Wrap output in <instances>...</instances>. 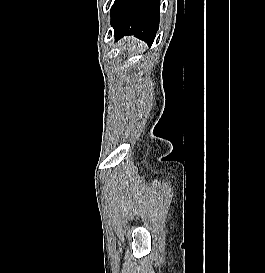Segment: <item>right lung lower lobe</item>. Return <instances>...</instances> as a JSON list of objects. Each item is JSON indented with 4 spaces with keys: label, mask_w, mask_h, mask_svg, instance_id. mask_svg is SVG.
Masks as SVG:
<instances>
[{
    "label": "right lung lower lobe",
    "mask_w": 265,
    "mask_h": 273,
    "mask_svg": "<svg viewBox=\"0 0 265 273\" xmlns=\"http://www.w3.org/2000/svg\"><path fill=\"white\" fill-rule=\"evenodd\" d=\"M160 20V0H116L111 9V25L116 40L134 35L152 44Z\"/></svg>",
    "instance_id": "98d812e1"
}]
</instances>
